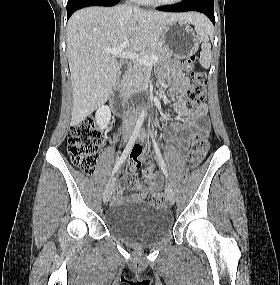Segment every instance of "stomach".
<instances>
[{
	"instance_id": "obj_1",
	"label": "stomach",
	"mask_w": 280,
	"mask_h": 285,
	"mask_svg": "<svg viewBox=\"0 0 280 285\" xmlns=\"http://www.w3.org/2000/svg\"><path fill=\"white\" fill-rule=\"evenodd\" d=\"M161 43L173 55L185 58L197 52L200 41L193 29L185 22L173 21L163 30Z\"/></svg>"
}]
</instances>
